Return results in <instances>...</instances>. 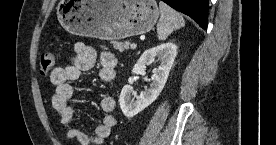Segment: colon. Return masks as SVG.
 Instances as JSON below:
<instances>
[{"label": "colon", "instance_id": "colon-1", "mask_svg": "<svg viewBox=\"0 0 276 145\" xmlns=\"http://www.w3.org/2000/svg\"><path fill=\"white\" fill-rule=\"evenodd\" d=\"M55 63V54L52 51L43 52L40 56V72L41 74L45 75L49 73Z\"/></svg>", "mask_w": 276, "mask_h": 145}]
</instances>
